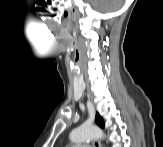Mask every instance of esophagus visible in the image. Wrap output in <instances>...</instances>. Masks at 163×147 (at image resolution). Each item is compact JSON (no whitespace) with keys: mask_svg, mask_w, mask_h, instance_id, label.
<instances>
[{"mask_svg":"<svg viewBox=\"0 0 163 147\" xmlns=\"http://www.w3.org/2000/svg\"><path fill=\"white\" fill-rule=\"evenodd\" d=\"M93 146L94 147H101V143L98 140L93 141Z\"/></svg>","mask_w":163,"mask_h":147,"instance_id":"1","label":"esophagus"}]
</instances>
